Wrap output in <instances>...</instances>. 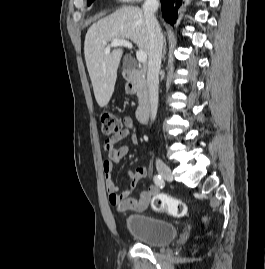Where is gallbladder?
<instances>
[{
    "instance_id": "obj_1",
    "label": "gallbladder",
    "mask_w": 265,
    "mask_h": 269,
    "mask_svg": "<svg viewBox=\"0 0 265 269\" xmlns=\"http://www.w3.org/2000/svg\"><path fill=\"white\" fill-rule=\"evenodd\" d=\"M124 67H125V68H131L132 65H131L130 63H125V64H124Z\"/></svg>"
}]
</instances>
